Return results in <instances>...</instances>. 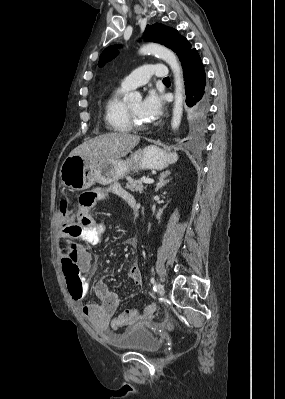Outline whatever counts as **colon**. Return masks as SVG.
Masks as SVG:
<instances>
[{"label": "colon", "mask_w": 285, "mask_h": 399, "mask_svg": "<svg viewBox=\"0 0 285 399\" xmlns=\"http://www.w3.org/2000/svg\"><path fill=\"white\" fill-rule=\"evenodd\" d=\"M96 200V193H88L81 198L80 205L82 207H91L94 205ZM59 207L61 214L65 216L71 207L70 200L67 198L61 199ZM78 224L83 226L85 224V220H78ZM62 271L65 276L66 285L69 292L73 295V298L79 299L82 293L81 268L74 253H71L69 257L62 259ZM153 312L154 308L152 306L145 307L144 309H125L113 318L112 327L115 329L127 327L136 323L141 316H151Z\"/></svg>", "instance_id": "obj_1"}]
</instances>
